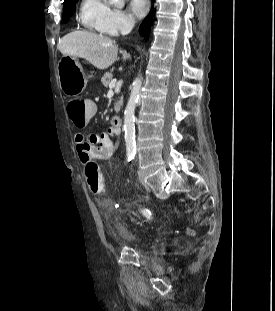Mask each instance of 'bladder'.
<instances>
[{
	"label": "bladder",
	"mask_w": 275,
	"mask_h": 311,
	"mask_svg": "<svg viewBox=\"0 0 275 311\" xmlns=\"http://www.w3.org/2000/svg\"><path fill=\"white\" fill-rule=\"evenodd\" d=\"M112 230L121 244H130L135 239L133 232L120 220H113Z\"/></svg>",
	"instance_id": "31cf9c89"
}]
</instances>
